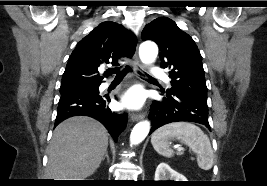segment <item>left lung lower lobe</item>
Listing matches in <instances>:
<instances>
[{"instance_id": "0a47b994", "label": "left lung lower lobe", "mask_w": 267, "mask_h": 186, "mask_svg": "<svg viewBox=\"0 0 267 186\" xmlns=\"http://www.w3.org/2000/svg\"><path fill=\"white\" fill-rule=\"evenodd\" d=\"M162 92L163 100L154 101L151 107L152 128L149 134L165 124L180 121L199 123L211 130L206 99L178 91Z\"/></svg>"}]
</instances>
